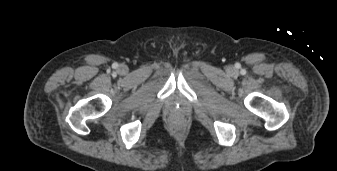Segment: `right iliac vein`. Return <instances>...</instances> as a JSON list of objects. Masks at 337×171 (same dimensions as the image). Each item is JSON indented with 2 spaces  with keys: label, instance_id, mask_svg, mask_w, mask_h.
I'll return each mask as SVG.
<instances>
[{
  "label": "right iliac vein",
  "instance_id": "1",
  "mask_svg": "<svg viewBox=\"0 0 337 171\" xmlns=\"http://www.w3.org/2000/svg\"><path fill=\"white\" fill-rule=\"evenodd\" d=\"M121 69L124 71V70H125V67H124V66H122V67H121Z\"/></svg>",
  "mask_w": 337,
  "mask_h": 171
}]
</instances>
